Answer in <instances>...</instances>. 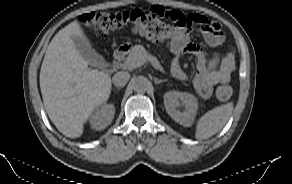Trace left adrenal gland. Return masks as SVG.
I'll list each match as a JSON object with an SVG mask.
<instances>
[{"instance_id":"obj_1","label":"left adrenal gland","mask_w":292,"mask_h":184,"mask_svg":"<svg viewBox=\"0 0 292 184\" xmlns=\"http://www.w3.org/2000/svg\"><path fill=\"white\" fill-rule=\"evenodd\" d=\"M154 81H155V84H160V83H162V82H166L167 79H163V80H161V79L155 78Z\"/></svg>"}]
</instances>
